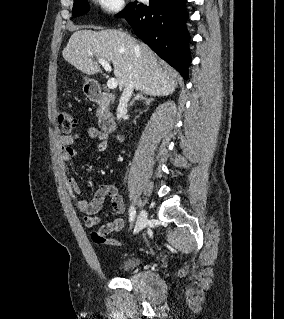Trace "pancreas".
Masks as SVG:
<instances>
[{
	"mask_svg": "<svg viewBox=\"0 0 284 319\" xmlns=\"http://www.w3.org/2000/svg\"><path fill=\"white\" fill-rule=\"evenodd\" d=\"M100 114H101V109H98L97 116H100Z\"/></svg>",
	"mask_w": 284,
	"mask_h": 319,
	"instance_id": "1",
	"label": "pancreas"
}]
</instances>
